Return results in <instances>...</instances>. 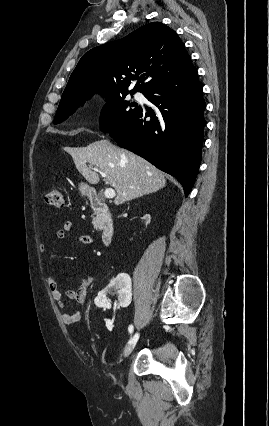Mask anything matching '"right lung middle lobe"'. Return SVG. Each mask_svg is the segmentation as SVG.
Here are the masks:
<instances>
[{
  "mask_svg": "<svg viewBox=\"0 0 269 426\" xmlns=\"http://www.w3.org/2000/svg\"><path fill=\"white\" fill-rule=\"evenodd\" d=\"M134 93L135 92H130L131 95ZM127 94L128 92L104 95L106 97V104L99 119L100 129L103 132H110L120 127V125L139 108H131L135 106V104L124 101ZM91 97L92 96H77L62 98L56 112L54 124L66 120L69 115L73 114L79 106L83 105L85 101Z\"/></svg>",
  "mask_w": 269,
  "mask_h": 426,
  "instance_id": "dd1d6c3e",
  "label": "right lung middle lobe"
}]
</instances>
